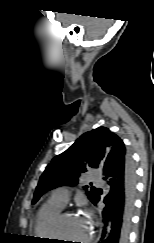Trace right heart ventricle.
Instances as JSON below:
<instances>
[{"instance_id": "right-heart-ventricle-1", "label": "right heart ventricle", "mask_w": 154, "mask_h": 243, "mask_svg": "<svg viewBox=\"0 0 154 243\" xmlns=\"http://www.w3.org/2000/svg\"><path fill=\"white\" fill-rule=\"evenodd\" d=\"M63 207L48 200L39 210L35 224L34 232L36 236L45 240L55 239L53 236L52 224L55 217L62 211Z\"/></svg>"}]
</instances>
